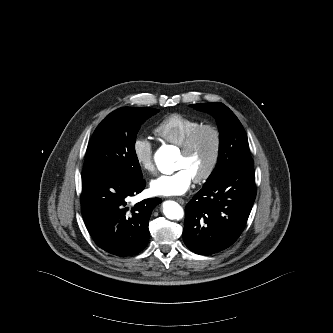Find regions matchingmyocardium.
Instances as JSON below:
<instances>
[{
  "instance_id": "1",
  "label": "myocardium",
  "mask_w": 333,
  "mask_h": 333,
  "mask_svg": "<svg viewBox=\"0 0 333 333\" xmlns=\"http://www.w3.org/2000/svg\"><path fill=\"white\" fill-rule=\"evenodd\" d=\"M205 131H209L213 135L214 138L213 151L210 161L205 170L201 174L193 178L194 182L196 183H202L208 180L211 177V175L214 173L218 165L221 153V146H222L221 132L216 126L212 124H202L196 129H194L187 136L184 143L181 145V153L184 155L190 154L194 149L199 136Z\"/></svg>"
}]
</instances>
